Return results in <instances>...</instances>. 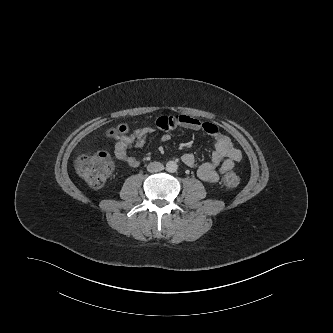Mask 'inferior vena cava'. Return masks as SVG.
<instances>
[{
	"instance_id": "602c4592",
	"label": "inferior vena cava",
	"mask_w": 333,
	"mask_h": 333,
	"mask_svg": "<svg viewBox=\"0 0 333 333\" xmlns=\"http://www.w3.org/2000/svg\"><path fill=\"white\" fill-rule=\"evenodd\" d=\"M164 169L163 164H161L160 162H151L148 164L147 166V170L150 173H156V172H160Z\"/></svg>"
}]
</instances>
